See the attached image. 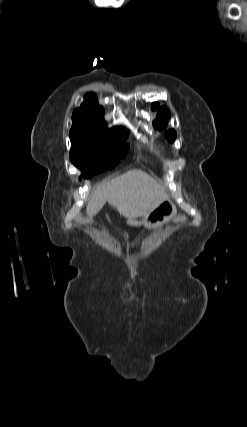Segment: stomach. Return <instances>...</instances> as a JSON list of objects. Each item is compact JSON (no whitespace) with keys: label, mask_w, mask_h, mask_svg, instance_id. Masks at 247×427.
Segmentation results:
<instances>
[{"label":"stomach","mask_w":247,"mask_h":427,"mask_svg":"<svg viewBox=\"0 0 247 427\" xmlns=\"http://www.w3.org/2000/svg\"><path fill=\"white\" fill-rule=\"evenodd\" d=\"M176 215L177 208L175 204L170 199H166L157 208L144 216L142 221L129 219L128 224L132 226L144 224L146 227L153 229L168 223Z\"/></svg>","instance_id":"stomach-1"}]
</instances>
